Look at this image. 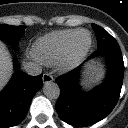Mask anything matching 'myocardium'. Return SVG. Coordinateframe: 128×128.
I'll return each mask as SVG.
<instances>
[{"instance_id": "1", "label": "myocardium", "mask_w": 128, "mask_h": 128, "mask_svg": "<svg viewBox=\"0 0 128 128\" xmlns=\"http://www.w3.org/2000/svg\"><path fill=\"white\" fill-rule=\"evenodd\" d=\"M80 34H86L88 37V41L83 48L78 49L77 39ZM91 46H92V37L90 32L84 29L78 30L71 39L67 50L65 51L61 59L58 61L57 66L59 71L66 73L75 69L86 57V55L90 51Z\"/></svg>"}]
</instances>
